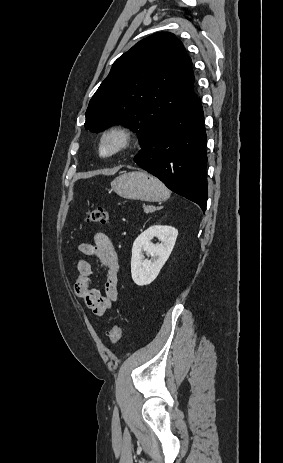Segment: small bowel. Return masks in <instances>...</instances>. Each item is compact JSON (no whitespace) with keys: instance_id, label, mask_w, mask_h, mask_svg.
Wrapping results in <instances>:
<instances>
[{"instance_id":"c3829d8e","label":"small bowel","mask_w":283,"mask_h":463,"mask_svg":"<svg viewBox=\"0 0 283 463\" xmlns=\"http://www.w3.org/2000/svg\"><path fill=\"white\" fill-rule=\"evenodd\" d=\"M78 251L81 258L77 263L74 293L84 301L94 315L102 316L118 299V282L121 274L118 254L110 237L103 232H97L94 235L93 243L78 245ZM85 256L96 259L106 269L104 292L91 287L92 268L90 263L83 258Z\"/></svg>"}]
</instances>
